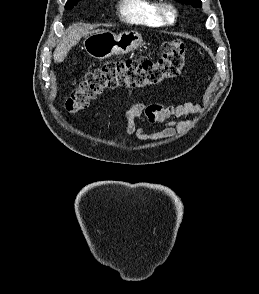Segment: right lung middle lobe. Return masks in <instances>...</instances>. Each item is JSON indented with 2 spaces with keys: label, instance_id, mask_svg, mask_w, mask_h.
Here are the masks:
<instances>
[{
  "label": "right lung middle lobe",
  "instance_id": "1",
  "mask_svg": "<svg viewBox=\"0 0 259 294\" xmlns=\"http://www.w3.org/2000/svg\"><path fill=\"white\" fill-rule=\"evenodd\" d=\"M78 2H79V0H68L65 5V9L71 10L74 6L77 5Z\"/></svg>",
  "mask_w": 259,
  "mask_h": 294
}]
</instances>
